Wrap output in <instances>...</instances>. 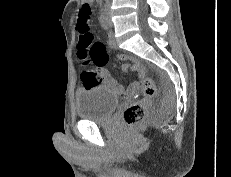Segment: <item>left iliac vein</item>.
<instances>
[{
  "label": "left iliac vein",
  "mask_w": 231,
  "mask_h": 177,
  "mask_svg": "<svg viewBox=\"0 0 231 177\" xmlns=\"http://www.w3.org/2000/svg\"><path fill=\"white\" fill-rule=\"evenodd\" d=\"M105 23L108 27H112L113 23L111 21V13H110V6L107 4L106 10H105Z\"/></svg>",
  "instance_id": "obj_1"
}]
</instances>
